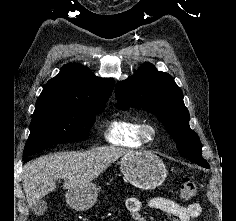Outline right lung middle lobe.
I'll use <instances>...</instances> for the list:
<instances>
[{"label": "right lung middle lobe", "instance_id": "1", "mask_svg": "<svg viewBox=\"0 0 236 221\" xmlns=\"http://www.w3.org/2000/svg\"><path fill=\"white\" fill-rule=\"evenodd\" d=\"M104 107L105 103H36L23 158L54 144L87 140L95 115Z\"/></svg>", "mask_w": 236, "mask_h": 221}]
</instances>
